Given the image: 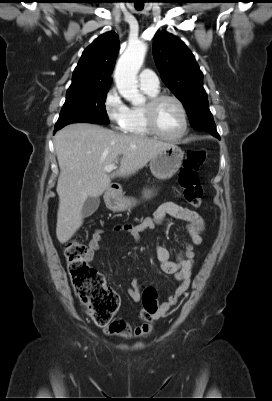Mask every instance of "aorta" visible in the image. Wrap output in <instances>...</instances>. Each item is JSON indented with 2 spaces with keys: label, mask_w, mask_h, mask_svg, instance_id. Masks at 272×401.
<instances>
[{
  "label": "aorta",
  "mask_w": 272,
  "mask_h": 401,
  "mask_svg": "<svg viewBox=\"0 0 272 401\" xmlns=\"http://www.w3.org/2000/svg\"><path fill=\"white\" fill-rule=\"evenodd\" d=\"M146 51L145 43L141 41L130 43L119 58L114 72L118 92L133 105L145 102V97L138 90L137 74L143 64Z\"/></svg>",
  "instance_id": "1"
}]
</instances>
